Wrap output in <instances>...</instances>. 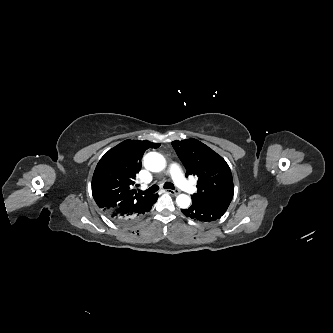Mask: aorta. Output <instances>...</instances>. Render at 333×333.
Listing matches in <instances>:
<instances>
[{
	"label": "aorta",
	"instance_id": "762f6f07",
	"mask_svg": "<svg viewBox=\"0 0 333 333\" xmlns=\"http://www.w3.org/2000/svg\"><path fill=\"white\" fill-rule=\"evenodd\" d=\"M144 166L152 172H160L165 168L166 162L161 154L150 152L144 157ZM176 203L180 208L185 209L189 207L191 199L188 195L181 194L177 196Z\"/></svg>",
	"mask_w": 333,
	"mask_h": 333
}]
</instances>
